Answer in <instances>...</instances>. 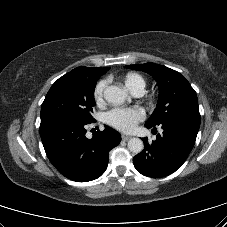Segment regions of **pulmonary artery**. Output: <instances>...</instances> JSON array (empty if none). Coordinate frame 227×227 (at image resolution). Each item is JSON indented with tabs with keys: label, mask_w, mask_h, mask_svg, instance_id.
Returning a JSON list of instances; mask_svg holds the SVG:
<instances>
[{
	"label": "pulmonary artery",
	"mask_w": 227,
	"mask_h": 227,
	"mask_svg": "<svg viewBox=\"0 0 227 227\" xmlns=\"http://www.w3.org/2000/svg\"><path fill=\"white\" fill-rule=\"evenodd\" d=\"M133 93H134V95H136V96H141V95L143 94V89H137V90H135Z\"/></svg>",
	"instance_id": "1"
}]
</instances>
